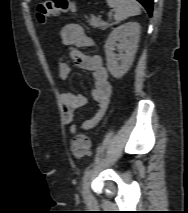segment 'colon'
I'll return each mask as SVG.
<instances>
[{"mask_svg":"<svg viewBox=\"0 0 188 213\" xmlns=\"http://www.w3.org/2000/svg\"><path fill=\"white\" fill-rule=\"evenodd\" d=\"M77 9L73 0H41L36 8V16L40 23H45L48 18L61 12L75 11ZM90 139L80 134L71 141V151L75 158L86 156L90 150Z\"/></svg>","mask_w":188,"mask_h":213,"instance_id":"5ec220e1","label":"colon"}]
</instances>
